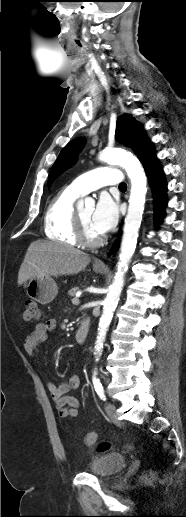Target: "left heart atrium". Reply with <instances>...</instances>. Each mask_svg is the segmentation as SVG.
Wrapping results in <instances>:
<instances>
[{
	"mask_svg": "<svg viewBox=\"0 0 186 517\" xmlns=\"http://www.w3.org/2000/svg\"><path fill=\"white\" fill-rule=\"evenodd\" d=\"M119 208L116 201L109 195L100 196L98 203L91 217V225L99 234H104L111 230L117 223Z\"/></svg>",
	"mask_w": 186,
	"mask_h": 517,
	"instance_id": "1",
	"label": "left heart atrium"
}]
</instances>
